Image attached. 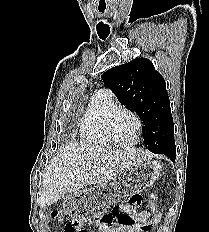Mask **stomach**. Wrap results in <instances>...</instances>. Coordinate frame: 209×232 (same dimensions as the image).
Listing matches in <instances>:
<instances>
[{
    "instance_id": "0dacf381",
    "label": "stomach",
    "mask_w": 209,
    "mask_h": 232,
    "mask_svg": "<svg viewBox=\"0 0 209 232\" xmlns=\"http://www.w3.org/2000/svg\"><path fill=\"white\" fill-rule=\"evenodd\" d=\"M161 170L159 161L144 160L126 171H119V176H112L110 182H101L100 186H90L83 194L66 198L62 214H69V218L75 221H88V214H95L99 208L127 199L129 194L141 192L152 185Z\"/></svg>"
}]
</instances>
